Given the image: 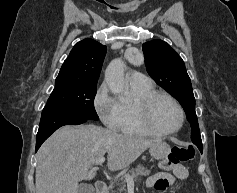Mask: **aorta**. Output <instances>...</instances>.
<instances>
[{
    "label": "aorta",
    "instance_id": "1",
    "mask_svg": "<svg viewBox=\"0 0 237 193\" xmlns=\"http://www.w3.org/2000/svg\"><path fill=\"white\" fill-rule=\"evenodd\" d=\"M124 68L125 64L122 59H114L108 65L105 71V80L110 88V90L114 94H118L120 96L121 101H125V97L123 96L126 81L124 78Z\"/></svg>",
    "mask_w": 237,
    "mask_h": 193
}]
</instances>
